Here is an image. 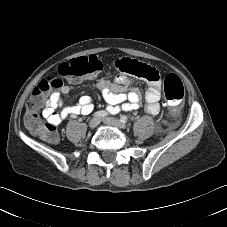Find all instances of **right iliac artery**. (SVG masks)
<instances>
[{
    "mask_svg": "<svg viewBox=\"0 0 227 227\" xmlns=\"http://www.w3.org/2000/svg\"><path fill=\"white\" fill-rule=\"evenodd\" d=\"M107 112L104 111V110H101V111H97L93 114L94 117L96 118H103V117H106L107 116Z\"/></svg>",
    "mask_w": 227,
    "mask_h": 227,
    "instance_id": "1",
    "label": "right iliac artery"
}]
</instances>
